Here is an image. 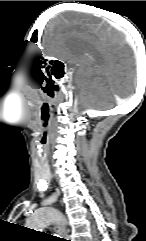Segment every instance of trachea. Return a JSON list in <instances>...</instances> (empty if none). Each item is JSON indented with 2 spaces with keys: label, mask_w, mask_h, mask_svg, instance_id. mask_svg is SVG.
Returning a JSON list of instances; mask_svg holds the SVG:
<instances>
[{
  "label": "trachea",
  "mask_w": 146,
  "mask_h": 241,
  "mask_svg": "<svg viewBox=\"0 0 146 241\" xmlns=\"http://www.w3.org/2000/svg\"><path fill=\"white\" fill-rule=\"evenodd\" d=\"M56 241H65L64 239L56 237Z\"/></svg>",
  "instance_id": "trachea-1"
}]
</instances>
